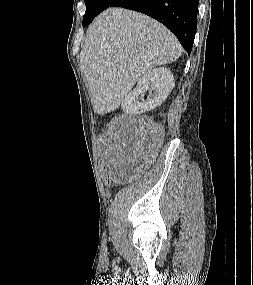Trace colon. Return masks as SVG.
Here are the masks:
<instances>
[{
	"label": "colon",
	"instance_id": "colon-1",
	"mask_svg": "<svg viewBox=\"0 0 253 285\" xmlns=\"http://www.w3.org/2000/svg\"><path fill=\"white\" fill-rule=\"evenodd\" d=\"M98 144L101 145L100 150L98 151L97 157L98 164L100 167L96 168L97 172H101V176H105V180H114V175H110V150L111 143L108 140H105L102 132L98 133Z\"/></svg>",
	"mask_w": 253,
	"mask_h": 285
}]
</instances>
